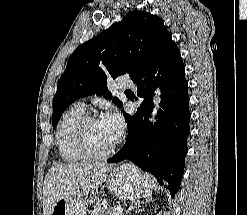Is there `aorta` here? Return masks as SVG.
Listing matches in <instances>:
<instances>
[{
  "label": "aorta",
  "instance_id": "762f6f07",
  "mask_svg": "<svg viewBox=\"0 0 247 215\" xmlns=\"http://www.w3.org/2000/svg\"><path fill=\"white\" fill-rule=\"evenodd\" d=\"M160 101V91H156V94L154 96V103H155V109L154 111L152 112V115H151V118H150V121L154 124V122H156V116H157V110L159 108L158 106V102Z\"/></svg>",
  "mask_w": 247,
  "mask_h": 215
}]
</instances>
